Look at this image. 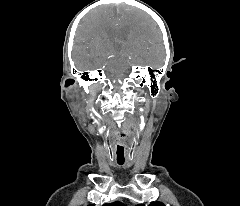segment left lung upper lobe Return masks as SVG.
<instances>
[{
  "label": "left lung upper lobe",
  "instance_id": "5c2ea615",
  "mask_svg": "<svg viewBox=\"0 0 240 206\" xmlns=\"http://www.w3.org/2000/svg\"><path fill=\"white\" fill-rule=\"evenodd\" d=\"M137 206H145V205L144 204H139ZM149 206H165V205L161 202H154V203L149 204Z\"/></svg>",
  "mask_w": 240,
  "mask_h": 206
}]
</instances>
